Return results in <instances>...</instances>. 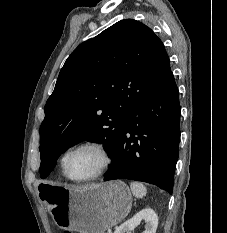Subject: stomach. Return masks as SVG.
I'll list each match as a JSON object with an SVG mask.
<instances>
[{
	"instance_id": "obj_1",
	"label": "stomach",
	"mask_w": 227,
	"mask_h": 233,
	"mask_svg": "<svg viewBox=\"0 0 227 233\" xmlns=\"http://www.w3.org/2000/svg\"><path fill=\"white\" fill-rule=\"evenodd\" d=\"M42 199L59 227L80 233H104L121 222L132 207L131 191L122 181L80 189L44 183Z\"/></svg>"
}]
</instances>
